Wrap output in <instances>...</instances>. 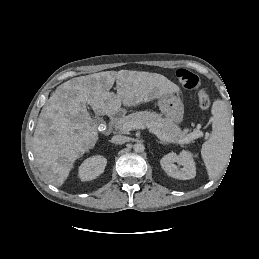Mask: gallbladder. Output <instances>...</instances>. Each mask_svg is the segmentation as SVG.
<instances>
[{
  "label": "gallbladder",
  "instance_id": "1",
  "mask_svg": "<svg viewBox=\"0 0 259 259\" xmlns=\"http://www.w3.org/2000/svg\"><path fill=\"white\" fill-rule=\"evenodd\" d=\"M95 121H96L97 124H100V123L103 122V120L98 116L95 117Z\"/></svg>",
  "mask_w": 259,
  "mask_h": 259
}]
</instances>
